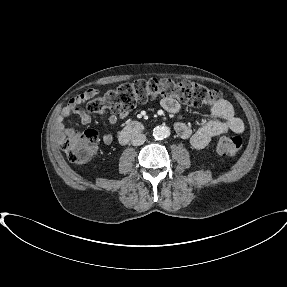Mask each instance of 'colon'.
Here are the masks:
<instances>
[{
    "label": "colon",
    "mask_w": 287,
    "mask_h": 287,
    "mask_svg": "<svg viewBox=\"0 0 287 287\" xmlns=\"http://www.w3.org/2000/svg\"><path fill=\"white\" fill-rule=\"evenodd\" d=\"M157 97L174 99L193 107L213 106L221 99L219 90L207 88L190 81L170 79L136 80L123 84L104 94L93 97L88 109L93 113L105 111H129L137 104L146 103ZM99 143L98 133L94 130H75L62 142V148L69 160L78 165L88 163L95 154ZM243 147L239 136L223 137L217 143V150L225 156H236Z\"/></svg>",
    "instance_id": "1"
}]
</instances>
